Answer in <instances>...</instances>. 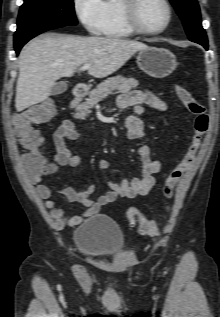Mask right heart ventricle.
<instances>
[{
	"label": "right heart ventricle",
	"mask_w": 220,
	"mask_h": 317,
	"mask_svg": "<svg viewBox=\"0 0 220 317\" xmlns=\"http://www.w3.org/2000/svg\"><path fill=\"white\" fill-rule=\"evenodd\" d=\"M122 0H103L99 33L110 38H127L135 34L121 12Z\"/></svg>",
	"instance_id": "1"
}]
</instances>
